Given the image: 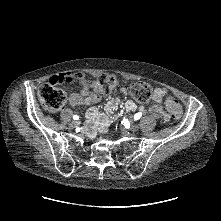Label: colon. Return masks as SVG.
<instances>
[{"label":"colon","instance_id":"colon-1","mask_svg":"<svg viewBox=\"0 0 221 221\" xmlns=\"http://www.w3.org/2000/svg\"><path fill=\"white\" fill-rule=\"evenodd\" d=\"M117 84L118 80L116 77L102 76L94 82L82 80L81 90L84 95H107L116 89ZM130 93L137 101L146 102L152 96V88L145 82H135L130 87ZM39 99L42 105L49 111H57L67 102L69 103L71 101V97L67 98L65 92L59 85H51L49 82L43 84L39 88ZM167 104L172 118L174 120H179L182 116V109L179 103L175 99L169 98Z\"/></svg>","mask_w":221,"mask_h":221}]
</instances>
